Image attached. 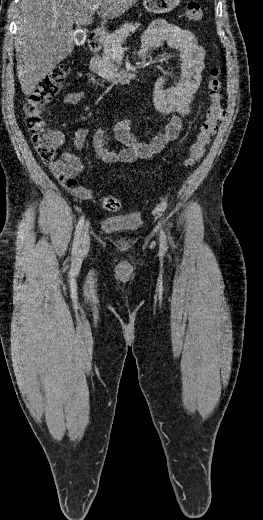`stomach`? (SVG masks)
<instances>
[{"instance_id": "stomach-1", "label": "stomach", "mask_w": 263, "mask_h": 520, "mask_svg": "<svg viewBox=\"0 0 263 520\" xmlns=\"http://www.w3.org/2000/svg\"><path fill=\"white\" fill-rule=\"evenodd\" d=\"M180 0H143L145 9L150 13L162 14L172 11Z\"/></svg>"}]
</instances>
